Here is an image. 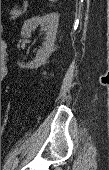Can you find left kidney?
Returning a JSON list of instances; mask_svg holds the SVG:
<instances>
[{
	"instance_id": "5707ae66",
	"label": "left kidney",
	"mask_w": 109,
	"mask_h": 170,
	"mask_svg": "<svg viewBox=\"0 0 109 170\" xmlns=\"http://www.w3.org/2000/svg\"><path fill=\"white\" fill-rule=\"evenodd\" d=\"M58 22L59 15L57 13H49L43 16L32 17L24 22L21 30L22 37L24 38L30 37L31 32L40 25L44 26L46 36L45 42L43 43L42 47L38 50L35 59L32 62L28 63L27 65L18 63L20 68L33 69L38 68L46 63L47 59L50 57L51 53L54 50Z\"/></svg>"
}]
</instances>
